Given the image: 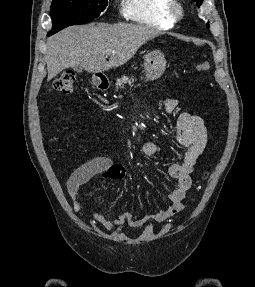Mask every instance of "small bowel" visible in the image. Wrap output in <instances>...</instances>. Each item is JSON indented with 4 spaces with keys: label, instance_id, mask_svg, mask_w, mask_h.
Here are the masks:
<instances>
[{
    "label": "small bowel",
    "instance_id": "c3829d8e",
    "mask_svg": "<svg viewBox=\"0 0 255 287\" xmlns=\"http://www.w3.org/2000/svg\"><path fill=\"white\" fill-rule=\"evenodd\" d=\"M178 107V100L166 98L163 102L165 112L172 113ZM177 140L186 148L187 152L180 163L172 164L169 175L176 180V187L168 195L169 204L156 214L143 219H136L130 212L124 211L115 218L93 212L91 222L99 224L106 230L114 233L121 232L126 224L130 227H140L148 222H163L183 209V199L192 184L191 174L199 157L204 155L208 148L207 130L201 117L183 112L177 119ZM141 155L149 157L162 152L159 145L153 142H144L139 146ZM125 168L114 163L105 156L95 157L77 168L67 182V192L73 202V209L81 213V188L95 177L108 180H121L125 177Z\"/></svg>",
    "mask_w": 255,
    "mask_h": 287
}]
</instances>
